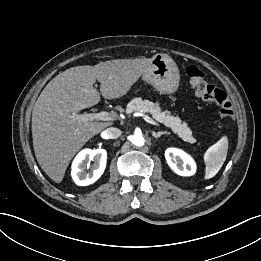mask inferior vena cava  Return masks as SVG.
Returning <instances> with one entry per match:
<instances>
[{
	"label": "inferior vena cava",
	"instance_id": "1",
	"mask_svg": "<svg viewBox=\"0 0 261 261\" xmlns=\"http://www.w3.org/2000/svg\"><path fill=\"white\" fill-rule=\"evenodd\" d=\"M122 134L121 130L115 127L107 128L103 131L105 139H116Z\"/></svg>",
	"mask_w": 261,
	"mask_h": 261
}]
</instances>
